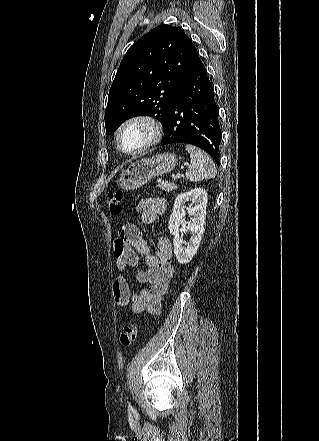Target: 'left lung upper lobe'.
<instances>
[{
  "label": "left lung upper lobe",
  "instance_id": "obj_1",
  "mask_svg": "<svg viewBox=\"0 0 319 441\" xmlns=\"http://www.w3.org/2000/svg\"><path fill=\"white\" fill-rule=\"evenodd\" d=\"M191 39L178 27L159 25L127 51L111 85L106 134L127 119L155 116L163 128L184 80L200 63Z\"/></svg>",
  "mask_w": 319,
  "mask_h": 441
}]
</instances>
